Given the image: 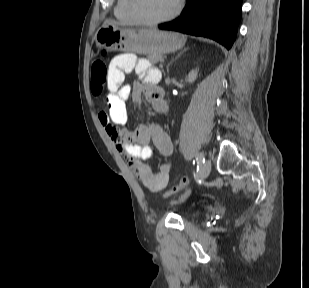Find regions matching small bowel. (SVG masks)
Instances as JSON below:
<instances>
[{"label": "small bowel", "mask_w": 309, "mask_h": 288, "mask_svg": "<svg viewBox=\"0 0 309 288\" xmlns=\"http://www.w3.org/2000/svg\"><path fill=\"white\" fill-rule=\"evenodd\" d=\"M133 70L142 81L135 82L131 87L125 84V76ZM158 76L157 70L147 59H139L131 53L117 55L111 60L108 70V111L99 113V120L117 151L125 157L144 187L153 193L167 186L171 163H160L156 171L146 164L152 157L150 143L162 156L169 157L173 152L172 140L165 130L150 121L131 131L123 126L127 121L126 102L129 98L140 105L144 96L155 112L167 113L168 106L163 98L164 92L158 85Z\"/></svg>", "instance_id": "c3829d8e"}]
</instances>
